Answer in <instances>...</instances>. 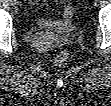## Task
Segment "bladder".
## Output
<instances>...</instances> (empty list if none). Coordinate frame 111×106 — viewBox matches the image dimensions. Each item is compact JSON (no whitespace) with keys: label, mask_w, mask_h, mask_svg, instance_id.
<instances>
[{"label":"bladder","mask_w":111,"mask_h":106,"mask_svg":"<svg viewBox=\"0 0 111 106\" xmlns=\"http://www.w3.org/2000/svg\"><path fill=\"white\" fill-rule=\"evenodd\" d=\"M39 25L49 30L65 33L74 29L75 25L70 21H51L47 19H40Z\"/></svg>","instance_id":"1"}]
</instances>
